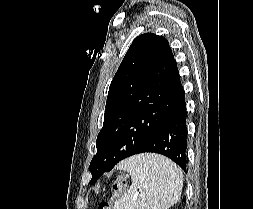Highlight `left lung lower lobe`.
<instances>
[{"mask_svg": "<svg viewBox=\"0 0 253 209\" xmlns=\"http://www.w3.org/2000/svg\"><path fill=\"white\" fill-rule=\"evenodd\" d=\"M185 92L181 87L175 105L161 126L135 153L154 152L177 163L185 172L187 168V126ZM95 183V182H94ZM90 183V184H94Z\"/></svg>", "mask_w": 253, "mask_h": 209, "instance_id": "1", "label": "left lung lower lobe"}]
</instances>
